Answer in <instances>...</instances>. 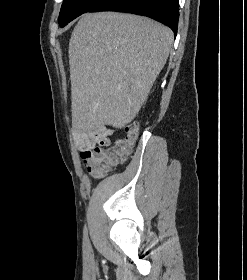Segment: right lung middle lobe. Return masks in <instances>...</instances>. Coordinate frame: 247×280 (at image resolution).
Here are the masks:
<instances>
[{
    "label": "right lung middle lobe",
    "instance_id": "dd1d6c3e",
    "mask_svg": "<svg viewBox=\"0 0 247 280\" xmlns=\"http://www.w3.org/2000/svg\"><path fill=\"white\" fill-rule=\"evenodd\" d=\"M101 0H64L59 14L58 22L61 27L81 14L91 11Z\"/></svg>",
    "mask_w": 247,
    "mask_h": 280
}]
</instances>
